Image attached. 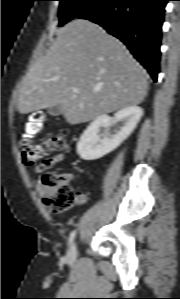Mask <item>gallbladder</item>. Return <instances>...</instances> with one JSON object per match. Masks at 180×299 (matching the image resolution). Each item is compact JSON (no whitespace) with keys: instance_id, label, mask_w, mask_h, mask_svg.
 <instances>
[{"instance_id":"bac80fb5","label":"gallbladder","mask_w":180,"mask_h":299,"mask_svg":"<svg viewBox=\"0 0 180 299\" xmlns=\"http://www.w3.org/2000/svg\"><path fill=\"white\" fill-rule=\"evenodd\" d=\"M48 113L52 116H59L62 113L61 106L56 105L48 109Z\"/></svg>"}]
</instances>
